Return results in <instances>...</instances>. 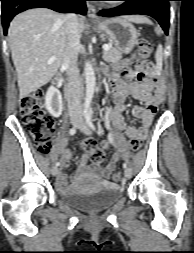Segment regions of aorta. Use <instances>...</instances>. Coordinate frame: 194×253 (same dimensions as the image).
Wrapping results in <instances>:
<instances>
[{"mask_svg":"<svg viewBox=\"0 0 194 253\" xmlns=\"http://www.w3.org/2000/svg\"><path fill=\"white\" fill-rule=\"evenodd\" d=\"M84 75L86 80V95L84 102V113H87L95 91V74L92 64L88 61L84 66Z\"/></svg>","mask_w":194,"mask_h":253,"instance_id":"obj_1","label":"aorta"}]
</instances>
